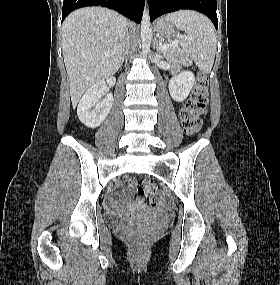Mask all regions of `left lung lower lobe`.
Instances as JSON below:
<instances>
[{"instance_id": "obj_1", "label": "left lung lower lobe", "mask_w": 280, "mask_h": 285, "mask_svg": "<svg viewBox=\"0 0 280 285\" xmlns=\"http://www.w3.org/2000/svg\"><path fill=\"white\" fill-rule=\"evenodd\" d=\"M180 9H191L208 16L218 29L216 0H149L150 20Z\"/></svg>"}]
</instances>
